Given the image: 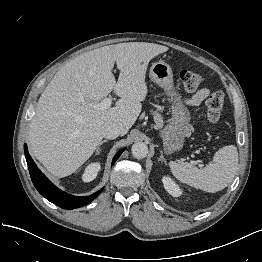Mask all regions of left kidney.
<instances>
[{
	"label": "left kidney",
	"instance_id": "1",
	"mask_svg": "<svg viewBox=\"0 0 262 262\" xmlns=\"http://www.w3.org/2000/svg\"><path fill=\"white\" fill-rule=\"evenodd\" d=\"M162 182L166 191L172 196L178 197L181 194L179 187L174 183V181L170 177L164 176Z\"/></svg>",
	"mask_w": 262,
	"mask_h": 262
}]
</instances>
